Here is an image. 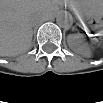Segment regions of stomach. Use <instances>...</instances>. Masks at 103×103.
Instances as JSON below:
<instances>
[{"label":"stomach","mask_w":103,"mask_h":103,"mask_svg":"<svg viewBox=\"0 0 103 103\" xmlns=\"http://www.w3.org/2000/svg\"><path fill=\"white\" fill-rule=\"evenodd\" d=\"M72 9L83 27H87L94 21L98 23L102 16V3L97 0L72 2Z\"/></svg>","instance_id":"obj_1"}]
</instances>
